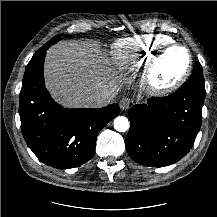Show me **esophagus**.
Here are the masks:
<instances>
[{
	"label": "esophagus",
	"instance_id": "34e87169",
	"mask_svg": "<svg viewBox=\"0 0 217 217\" xmlns=\"http://www.w3.org/2000/svg\"><path fill=\"white\" fill-rule=\"evenodd\" d=\"M134 105V101L131 98H123L120 102V108L122 111H127Z\"/></svg>",
	"mask_w": 217,
	"mask_h": 217
}]
</instances>
